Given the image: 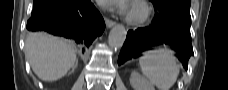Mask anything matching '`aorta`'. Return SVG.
I'll list each match as a JSON object with an SVG mask.
<instances>
[{
    "instance_id": "1",
    "label": "aorta",
    "mask_w": 228,
    "mask_h": 90,
    "mask_svg": "<svg viewBox=\"0 0 228 90\" xmlns=\"http://www.w3.org/2000/svg\"><path fill=\"white\" fill-rule=\"evenodd\" d=\"M127 31L124 26L116 25L109 33L108 43L112 48H121L126 40Z\"/></svg>"
}]
</instances>
